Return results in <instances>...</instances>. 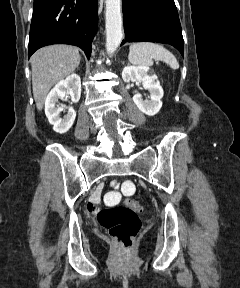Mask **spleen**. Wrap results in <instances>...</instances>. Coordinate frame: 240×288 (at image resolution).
Wrapping results in <instances>:
<instances>
[{"label":"spleen","instance_id":"obj_1","mask_svg":"<svg viewBox=\"0 0 240 288\" xmlns=\"http://www.w3.org/2000/svg\"><path fill=\"white\" fill-rule=\"evenodd\" d=\"M129 61L137 66H151L154 60L167 63L172 69H178L175 56L162 45L152 42L134 43L129 48Z\"/></svg>","mask_w":240,"mask_h":288}]
</instances>
